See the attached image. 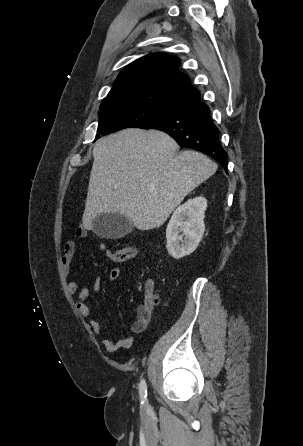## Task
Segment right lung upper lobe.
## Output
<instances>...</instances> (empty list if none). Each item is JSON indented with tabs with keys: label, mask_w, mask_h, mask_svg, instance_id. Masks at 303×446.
I'll return each mask as SVG.
<instances>
[{
	"label": "right lung upper lobe",
	"mask_w": 303,
	"mask_h": 446,
	"mask_svg": "<svg viewBox=\"0 0 303 446\" xmlns=\"http://www.w3.org/2000/svg\"><path fill=\"white\" fill-rule=\"evenodd\" d=\"M179 59L165 53L148 54L123 69L101 107L140 105L168 112L173 101L183 105L200 100L188 75L179 71Z\"/></svg>",
	"instance_id": "cb5924a9"
}]
</instances>
